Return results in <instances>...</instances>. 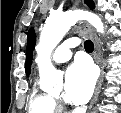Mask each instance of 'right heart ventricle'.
<instances>
[{
	"mask_svg": "<svg viewBox=\"0 0 121 113\" xmlns=\"http://www.w3.org/2000/svg\"><path fill=\"white\" fill-rule=\"evenodd\" d=\"M54 110V103L49 94L34 87L29 98L28 113H53Z\"/></svg>",
	"mask_w": 121,
	"mask_h": 113,
	"instance_id": "e07e8e85",
	"label": "right heart ventricle"
}]
</instances>
